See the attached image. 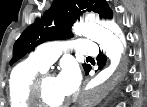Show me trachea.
<instances>
[{
	"mask_svg": "<svg viewBox=\"0 0 147 107\" xmlns=\"http://www.w3.org/2000/svg\"><path fill=\"white\" fill-rule=\"evenodd\" d=\"M87 58H88V59H92V57H89V56H88Z\"/></svg>",
	"mask_w": 147,
	"mask_h": 107,
	"instance_id": "trachea-1",
	"label": "trachea"
}]
</instances>
